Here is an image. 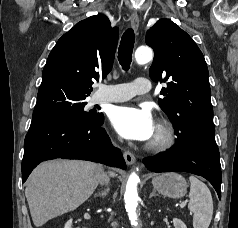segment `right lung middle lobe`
Returning <instances> with one entry per match:
<instances>
[{"instance_id":"dd1d6c3e","label":"right lung middle lobe","mask_w":238,"mask_h":228,"mask_svg":"<svg viewBox=\"0 0 238 228\" xmlns=\"http://www.w3.org/2000/svg\"><path fill=\"white\" fill-rule=\"evenodd\" d=\"M86 104L87 102L84 101L78 104L69 105L44 116L40 117L33 116V119L66 118L75 121L92 123L100 120L103 117V114L96 113L95 109L86 111L85 110Z\"/></svg>"}]
</instances>
